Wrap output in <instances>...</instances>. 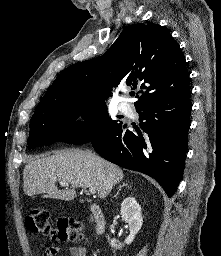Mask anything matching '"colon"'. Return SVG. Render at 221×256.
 Masks as SVG:
<instances>
[{
  "instance_id": "colon-1",
  "label": "colon",
  "mask_w": 221,
  "mask_h": 256,
  "mask_svg": "<svg viewBox=\"0 0 221 256\" xmlns=\"http://www.w3.org/2000/svg\"><path fill=\"white\" fill-rule=\"evenodd\" d=\"M25 223L31 232L49 235L52 239L65 242L81 237V224L74 219H58L56 227L45 208H35L26 217ZM53 252L55 250L53 249Z\"/></svg>"
}]
</instances>
